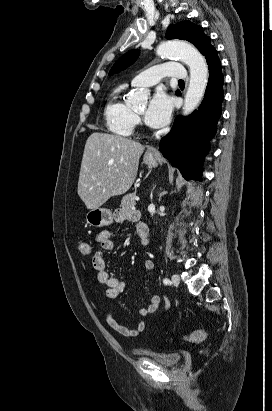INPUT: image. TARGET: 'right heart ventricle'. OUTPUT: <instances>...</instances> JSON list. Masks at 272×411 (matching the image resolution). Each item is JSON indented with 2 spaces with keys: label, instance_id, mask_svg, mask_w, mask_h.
I'll return each instance as SVG.
<instances>
[{
  "label": "right heart ventricle",
  "instance_id": "right-heart-ventricle-1",
  "mask_svg": "<svg viewBox=\"0 0 272 411\" xmlns=\"http://www.w3.org/2000/svg\"><path fill=\"white\" fill-rule=\"evenodd\" d=\"M125 86L115 89L109 96L104 115L108 129L120 136L128 137L132 134L136 124L132 107L122 98Z\"/></svg>",
  "mask_w": 272,
  "mask_h": 411
}]
</instances>
